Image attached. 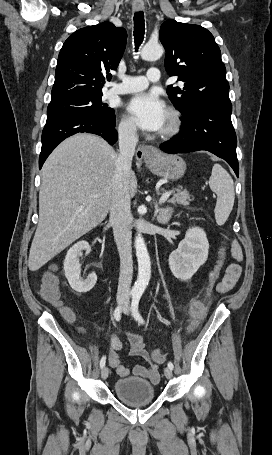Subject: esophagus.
<instances>
[{
    "instance_id": "obj_1",
    "label": "esophagus",
    "mask_w": 272,
    "mask_h": 455,
    "mask_svg": "<svg viewBox=\"0 0 272 455\" xmlns=\"http://www.w3.org/2000/svg\"><path fill=\"white\" fill-rule=\"evenodd\" d=\"M144 9L143 4H134V11H142ZM159 155V150L154 146L143 145L140 148V157L144 161H152Z\"/></svg>"
}]
</instances>
